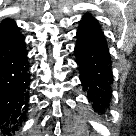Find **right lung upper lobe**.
<instances>
[{
    "instance_id": "obj_1",
    "label": "right lung upper lobe",
    "mask_w": 136,
    "mask_h": 136,
    "mask_svg": "<svg viewBox=\"0 0 136 136\" xmlns=\"http://www.w3.org/2000/svg\"><path fill=\"white\" fill-rule=\"evenodd\" d=\"M20 35V30L13 19L0 22V41Z\"/></svg>"
}]
</instances>
